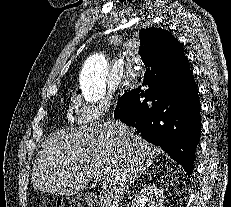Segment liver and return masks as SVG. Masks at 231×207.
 <instances>
[{
	"label": "liver",
	"mask_w": 231,
	"mask_h": 207,
	"mask_svg": "<svg viewBox=\"0 0 231 207\" xmlns=\"http://www.w3.org/2000/svg\"><path fill=\"white\" fill-rule=\"evenodd\" d=\"M33 165L35 190L72 196L92 179L102 182L101 207H118L127 189L161 150L123 123L107 119L46 138Z\"/></svg>",
	"instance_id": "1"
}]
</instances>
